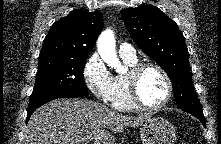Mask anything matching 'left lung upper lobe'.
<instances>
[{"label":"left lung upper lobe","instance_id":"5c2ea615","mask_svg":"<svg viewBox=\"0 0 221 144\" xmlns=\"http://www.w3.org/2000/svg\"><path fill=\"white\" fill-rule=\"evenodd\" d=\"M121 16L136 44L170 77L177 107L186 112L203 114L193 89L184 36L176 23L152 5L126 8L121 11Z\"/></svg>","mask_w":221,"mask_h":144}]
</instances>
